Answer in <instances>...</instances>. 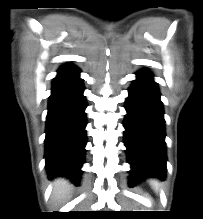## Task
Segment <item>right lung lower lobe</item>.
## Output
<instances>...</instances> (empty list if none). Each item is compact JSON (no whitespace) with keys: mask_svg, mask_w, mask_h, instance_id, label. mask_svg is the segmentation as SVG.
<instances>
[{"mask_svg":"<svg viewBox=\"0 0 203 219\" xmlns=\"http://www.w3.org/2000/svg\"><path fill=\"white\" fill-rule=\"evenodd\" d=\"M80 70L71 64L58 69L53 79L46 117L45 159L50 177L80 181L85 159L87 103Z\"/></svg>","mask_w":203,"mask_h":219,"instance_id":"right-lung-lower-lobe-1","label":"right lung lower lobe"}]
</instances>
